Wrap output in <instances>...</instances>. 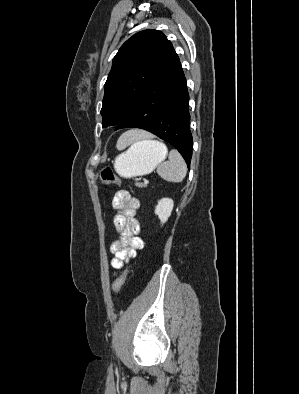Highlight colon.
<instances>
[{
  "label": "colon",
  "instance_id": "obj_1",
  "mask_svg": "<svg viewBox=\"0 0 299 394\" xmlns=\"http://www.w3.org/2000/svg\"><path fill=\"white\" fill-rule=\"evenodd\" d=\"M101 181L104 185H118L121 183L118 175L111 168H104L100 173ZM127 275V270H123L114 280L112 291L117 293L124 284Z\"/></svg>",
  "mask_w": 299,
  "mask_h": 394
}]
</instances>
